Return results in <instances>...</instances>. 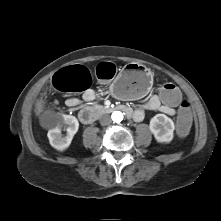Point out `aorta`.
Returning a JSON list of instances; mask_svg holds the SVG:
<instances>
[{
	"mask_svg": "<svg viewBox=\"0 0 221 221\" xmlns=\"http://www.w3.org/2000/svg\"><path fill=\"white\" fill-rule=\"evenodd\" d=\"M111 118L114 122L120 123L123 120V113L121 111H114Z\"/></svg>",
	"mask_w": 221,
	"mask_h": 221,
	"instance_id": "aorta-1",
	"label": "aorta"
}]
</instances>
